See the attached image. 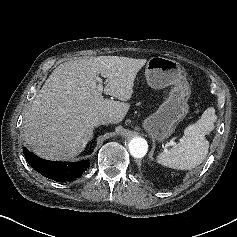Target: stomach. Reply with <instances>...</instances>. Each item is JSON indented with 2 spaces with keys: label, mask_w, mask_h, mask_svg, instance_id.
I'll return each instance as SVG.
<instances>
[{
  "label": "stomach",
  "mask_w": 237,
  "mask_h": 237,
  "mask_svg": "<svg viewBox=\"0 0 237 237\" xmlns=\"http://www.w3.org/2000/svg\"><path fill=\"white\" fill-rule=\"evenodd\" d=\"M145 76L154 89L172 87L158 110L143 121V127L151 138L161 142L174 133L179 122L188 114L191 88L184 68L172 59L160 56L150 58Z\"/></svg>",
  "instance_id": "1"
}]
</instances>
